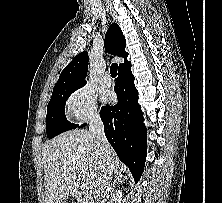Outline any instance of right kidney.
I'll return each instance as SVG.
<instances>
[{"label":"right kidney","instance_id":"obj_1","mask_svg":"<svg viewBox=\"0 0 222 203\" xmlns=\"http://www.w3.org/2000/svg\"><path fill=\"white\" fill-rule=\"evenodd\" d=\"M122 197H123L122 191L118 190L115 192L113 199H114L115 203H121Z\"/></svg>","mask_w":222,"mask_h":203}]
</instances>
